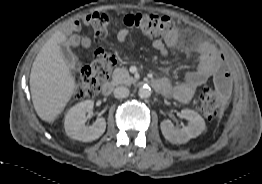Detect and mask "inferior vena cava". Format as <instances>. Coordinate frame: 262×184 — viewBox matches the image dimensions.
<instances>
[{"label":"inferior vena cava","mask_w":262,"mask_h":184,"mask_svg":"<svg viewBox=\"0 0 262 184\" xmlns=\"http://www.w3.org/2000/svg\"><path fill=\"white\" fill-rule=\"evenodd\" d=\"M129 89L126 87H117L114 89V96L118 99L128 97Z\"/></svg>","instance_id":"602c4592"}]
</instances>
